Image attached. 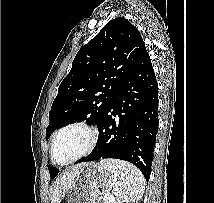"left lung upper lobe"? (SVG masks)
<instances>
[{
	"label": "left lung upper lobe",
	"mask_w": 214,
	"mask_h": 203,
	"mask_svg": "<svg viewBox=\"0 0 214 203\" xmlns=\"http://www.w3.org/2000/svg\"><path fill=\"white\" fill-rule=\"evenodd\" d=\"M146 50L137 30L125 18L110 20L82 46L69 74L59 86L49 112L47 139L53 131L69 123L83 121L99 125L116 91ZM51 178L58 169L48 166Z\"/></svg>",
	"instance_id": "obj_1"
}]
</instances>
